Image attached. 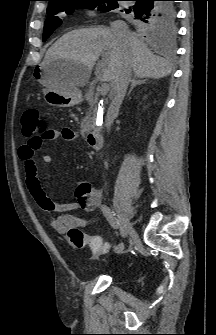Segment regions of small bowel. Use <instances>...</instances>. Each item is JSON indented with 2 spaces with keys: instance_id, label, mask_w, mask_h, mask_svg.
<instances>
[{
  "instance_id": "obj_1",
  "label": "small bowel",
  "mask_w": 216,
  "mask_h": 335,
  "mask_svg": "<svg viewBox=\"0 0 216 335\" xmlns=\"http://www.w3.org/2000/svg\"><path fill=\"white\" fill-rule=\"evenodd\" d=\"M75 138L76 134L71 129L63 128L61 130H48L45 141L58 139L71 141ZM19 156L24 163L26 186L32 198L45 212L58 214L56 219L50 220L57 232L66 234L72 228L81 229L98 222V218L88 220L80 215L69 213L79 207L83 208L87 212H93L101 206V194L99 191L93 190L91 184L83 182L78 186L75 192V201L66 203L54 202L46 196L41 187L34 151L29 147V145H23L19 148ZM43 162L45 164H50L52 162L51 156H43ZM104 244L106 249L94 255H100L107 251L108 244Z\"/></svg>"
}]
</instances>
